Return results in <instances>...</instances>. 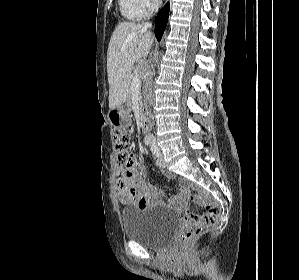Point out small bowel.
Masks as SVG:
<instances>
[{"label":"small bowel","mask_w":299,"mask_h":280,"mask_svg":"<svg viewBox=\"0 0 299 280\" xmlns=\"http://www.w3.org/2000/svg\"><path fill=\"white\" fill-rule=\"evenodd\" d=\"M146 169L140 159L132 156L131 164L126 168H119L117 179L118 198L123 204H134L139 208L150 206H169L176 211H182L190 195V185L187 180L180 178L179 191L168 201L162 200V191L154 185L144 181ZM166 178H172L170 172H165Z\"/></svg>","instance_id":"1"}]
</instances>
